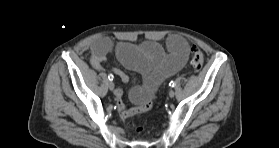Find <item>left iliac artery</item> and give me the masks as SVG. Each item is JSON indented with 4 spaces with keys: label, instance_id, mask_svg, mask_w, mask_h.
I'll return each instance as SVG.
<instances>
[{
    "label": "left iliac artery",
    "instance_id": "left-iliac-artery-1",
    "mask_svg": "<svg viewBox=\"0 0 279 148\" xmlns=\"http://www.w3.org/2000/svg\"><path fill=\"white\" fill-rule=\"evenodd\" d=\"M169 86H170V87H174V86H175V82H174V81H171V82L169 83Z\"/></svg>",
    "mask_w": 279,
    "mask_h": 148
}]
</instances>
